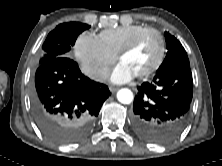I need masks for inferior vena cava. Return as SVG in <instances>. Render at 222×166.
Here are the masks:
<instances>
[{
    "label": "inferior vena cava",
    "mask_w": 222,
    "mask_h": 166,
    "mask_svg": "<svg viewBox=\"0 0 222 166\" xmlns=\"http://www.w3.org/2000/svg\"><path fill=\"white\" fill-rule=\"evenodd\" d=\"M109 75V69L107 67L93 70L89 73V77L96 81H104Z\"/></svg>",
    "instance_id": "1"
}]
</instances>
